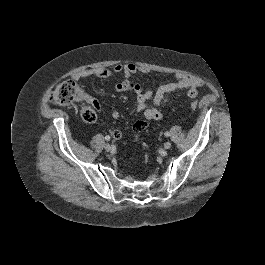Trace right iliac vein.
<instances>
[{
  "instance_id": "1",
  "label": "right iliac vein",
  "mask_w": 265,
  "mask_h": 265,
  "mask_svg": "<svg viewBox=\"0 0 265 265\" xmlns=\"http://www.w3.org/2000/svg\"><path fill=\"white\" fill-rule=\"evenodd\" d=\"M104 149L107 151V152H110L112 150V146L109 144V143H106L104 145Z\"/></svg>"
}]
</instances>
